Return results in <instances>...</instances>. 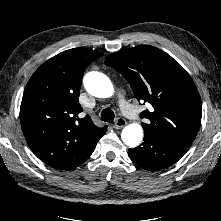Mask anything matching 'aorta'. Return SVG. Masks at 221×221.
<instances>
[{
	"instance_id": "1",
	"label": "aorta",
	"mask_w": 221,
	"mask_h": 221,
	"mask_svg": "<svg viewBox=\"0 0 221 221\" xmlns=\"http://www.w3.org/2000/svg\"><path fill=\"white\" fill-rule=\"evenodd\" d=\"M83 84L85 89L95 97L108 98L114 93V87L110 79L98 71L88 72L83 78ZM121 138L130 147L138 146L143 138L141 125L137 123L127 125L122 130Z\"/></svg>"
}]
</instances>
